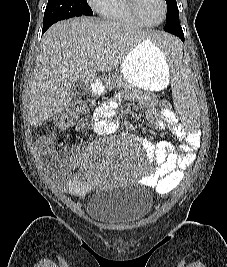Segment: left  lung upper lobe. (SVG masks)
I'll return each mask as SVG.
<instances>
[{
    "mask_svg": "<svg viewBox=\"0 0 227 267\" xmlns=\"http://www.w3.org/2000/svg\"><path fill=\"white\" fill-rule=\"evenodd\" d=\"M167 3V15L166 22L179 15L176 0H166Z\"/></svg>",
    "mask_w": 227,
    "mask_h": 267,
    "instance_id": "5c2ea615",
    "label": "left lung upper lobe"
}]
</instances>
